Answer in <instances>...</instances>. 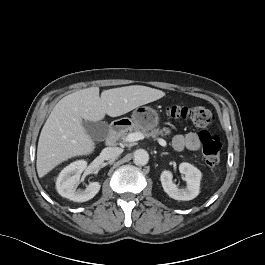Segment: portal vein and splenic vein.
Masks as SVG:
<instances>
[{
  "mask_svg": "<svg viewBox=\"0 0 265 265\" xmlns=\"http://www.w3.org/2000/svg\"><path fill=\"white\" fill-rule=\"evenodd\" d=\"M142 139H144V136L140 132L130 133L126 137V141L127 142H136V141H139V140H142ZM158 143L161 146H163V147H166L167 146L166 141L164 139H162V138H158Z\"/></svg>",
  "mask_w": 265,
  "mask_h": 265,
  "instance_id": "portal-vein-and-splenic-vein-1",
  "label": "portal vein and splenic vein"
}]
</instances>
